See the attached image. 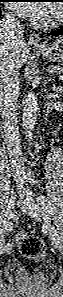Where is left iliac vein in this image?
Returning a JSON list of instances; mask_svg holds the SVG:
<instances>
[{
	"label": "left iliac vein",
	"mask_w": 63,
	"mask_h": 297,
	"mask_svg": "<svg viewBox=\"0 0 63 297\" xmlns=\"http://www.w3.org/2000/svg\"><path fill=\"white\" fill-rule=\"evenodd\" d=\"M20 208L28 215L34 217L37 220H42L44 217L41 208L34 202L30 201H20ZM46 228L48 230L49 236L51 237L54 247L58 250L62 248V239L59 236L55 227L48 221H45Z\"/></svg>",
	"instance_id": "1"
}]
</instances>
